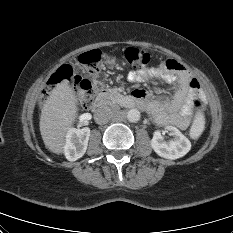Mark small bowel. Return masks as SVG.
<instances>
[{"instance_id": "c3829d8e", "label": "small bowel", "mask_w": 233, "mask_h": 233, "mask_svg": "<svg viewBox=\"0 0 233 233\" xmlns=\"http://www.w3.org/2000/svg\"><path fill=\"white\" fill-rule=\"evenodd\" d=\"M155 78L175 84V95L172 98L155 99L146 90L136 89L133 92L134 98L157 123L186 129L197 114L193 109V99L203 93L199 81L183 64L171 58L156 66L143 67L128 74V79L132 82H146Z\"/></svg>"}]
</instances>
